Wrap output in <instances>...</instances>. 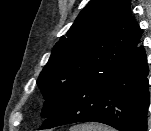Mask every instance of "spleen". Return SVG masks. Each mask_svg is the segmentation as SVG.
I'll return each instance as SVG.
<instances>
[{
    "label": "spleen",
    "mask_w": 151,
    "mask_h": 131,
    "mask_svg": "<svg viewBox=\"0 0 151 131\" xmlns=\"http://www.w3.org/2000/svg\"><path fill=\"white\" fill-rule=\"evenodd\" d=\"M70 131H115L113 128L102 124H81L73 126Z\"/></svg>",
    "instance_id": "1"
}]
</instances>
